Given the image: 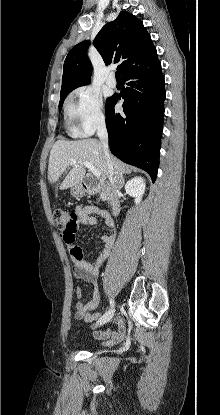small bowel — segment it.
Wrapping results in <instances>:
<instances>
[{"label":"small bowel","mask_w":220,"mask_h":415,"mask_svg":"<svg viewBox=\"0 0 220 415\" xmlns=\"http://www.w3.org/2000/svg\"><path fill=\"white\" fill-rule=\"evenodd\" d=\"M75 216L74 223L70 226L73 229V239L68 238L67 232L61 231L63 242L70 249V255L73 262V272L77 279L83 280L91 285V297L87 303L77 302L75 318L78 320H85L86 322H93L98 315L94 314L95 309L100 302V293L98 289V276L100 266L104 260L109 256L113 248L116 234V226L114 220L111 218L106 210L97 208L91 205L78 206L73 213ZM98 219H103L109 233L101 236L102 251L95 262H90L86 259L85 251L82 247L76 245L75 234L80 225L95 226ZM83 295L81 287L75 289V297L80 299ZM115 328L105 331H94V337L103 341L102 344L111 346L121 342L126 333L124 321L121 317L114 319ZM94 327V325H93Z\"/></svg>","instance_id":"small-bowel-1"}]
</instances>
